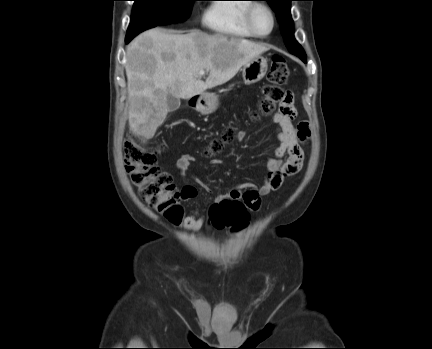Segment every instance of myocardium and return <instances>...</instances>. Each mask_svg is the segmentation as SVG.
Listing matches in <instances>:
<instances>
[{
  "instance_id": "1",
  "label": "myocardium",
  "mask_w": 432,
  "mask_h": 349,
  "mask_svg": "<svg viewBox=\"0 0 432 349\" xmlns=\"http://www.w3.org/2000/svg\"><path fill=\"white\" fill-rule=\"evenodd\" d=\"M258 8H263V9L267 10L271 16L272 26H271V29L269 30V32L266 34L259 33L254 26L253 15H254V12L256 11V9H258ZM244 23H245L246 28L249 30V32L254 37L264 39V38H267L268 36H270L272 34V32L274 31V29L276 27L277 21H276V15H275L273 9L268 4H266L264 2H254V3L249 4L246 11H245Z\"/></svg>"
}]
</instances>
